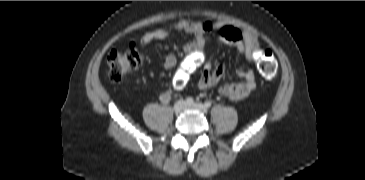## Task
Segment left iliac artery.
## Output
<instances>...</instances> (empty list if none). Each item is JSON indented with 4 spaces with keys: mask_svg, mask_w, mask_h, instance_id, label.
<instances>
[{
    "mask_svg": "<svg viewBox=\"0 0 365 180\" xmlns=\"http://www.w3.org/2000/svg\"><path fill=\"white\" fill-rule=\"evenodd\" d=\"M204 105H205L206 108H209V107H211V102L210 101H207V102H205Z\"/></svg>",
    "mask_w": 365,
    "mask_h": 180,
    "instance_id": "left-iliac-artery-1",
    "label": "left iliac artery"
}]
</instances>
